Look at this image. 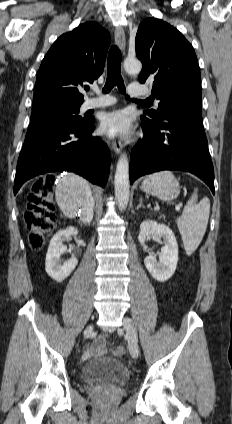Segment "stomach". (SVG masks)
Listing matches in <instances>:
<instances>
[{
	"label": "stomach",
	"mask_w": 232,
	"mask_h": 424,
	"mask_svg": "<svg viewBox=\"0 0 232 424\" xmlns=\"http://www.w3.org/2000/svg\"><path fill=\"white\" fill-rule=\"evenodd\" d=\"M141 189L163 201H170L180 193L179 182L170 171L149 175L141 184Z\"/></svg>",
	"instance_id": "0dacf381"
}]
</instances>
